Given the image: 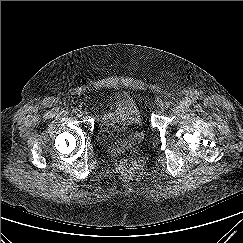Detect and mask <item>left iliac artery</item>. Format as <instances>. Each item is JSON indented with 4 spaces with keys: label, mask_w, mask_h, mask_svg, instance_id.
I'll use <instances>...</instances> for the list:
<instances>
[{
    "label": "left iliac artery",
    "mask_w": 243,
    "mask_h": 243,
    "mask_svg": "<svg viewBox=\"0 0 243 243\" xmlns=\"http://www.w3.org/2000/svg\"><path fill=\"white\" fill-rule=\"evenodd\" d=\"M170 105H171V102H166V107L168 108V107H170Z\"/></svg>",
    "instance_id": "1"
}]
</instances>
